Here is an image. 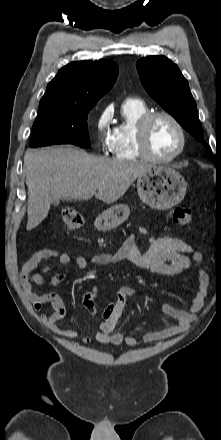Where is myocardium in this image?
<instances>
[{"instance_id":"myocardium-1","label":"myocardium","mask_w":221,"mask_h":440,"mask_svg":"<svg viewBox=\"0 0 221 440\" xmlns=\"http://www.w3.org/2000/svg\"><path fill=\"white\" fill-rule=\"evenodd\" d=\"M159 117L170 120L177 128L180 137L178 149L169 157H158L154 155L149 147V129L152 122ZM136 140L138 149L143 158L156 163H170L178 158L186 148V132L181 122L171 113L163 110L151 111L145 114L138 122L136 127Z\"/></svg>"}]
</instances>
